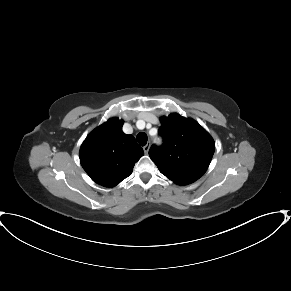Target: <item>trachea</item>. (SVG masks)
Masks as SVG:
<instances>
[{
  "instance_id": "1",
  "label": "trachea",
  "mask_w": 291,
  "mask_h": 291,
  "mask_svg": "<svg viewBox=\"0 0 291 291\" xmlns=\"http://www.w3.org/2000/svg\"><path fill=\"white\" fill-rule=\"evenodd\" d=\"M137 141L141 146H145L147 143V134L144 132H140L137 134Z\"/></svg>"
}]
</instances>
